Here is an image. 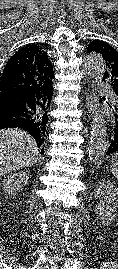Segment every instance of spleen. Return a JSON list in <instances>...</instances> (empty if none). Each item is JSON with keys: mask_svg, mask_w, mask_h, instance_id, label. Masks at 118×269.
Here are the masks:
<instances>
[{"mask_svg": "<svg viewBox=\"0 0 118 269\" xmlns=\"http://www.w3.org/2000/svg\"><path fill=\"white\" fill-rule=\"evenodd\" d=\"M110 170L112 174L118 179V152H116L111 159Z\"/></svg>", "mask_w": 118, "mask_h": 269, "instance_id": "spleen-1", "label": "spleen"}]
</instances>
